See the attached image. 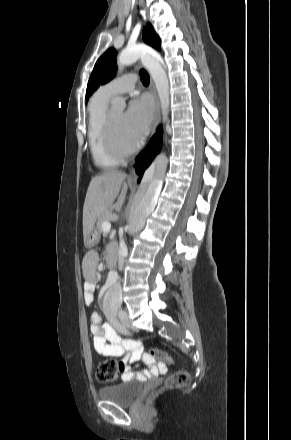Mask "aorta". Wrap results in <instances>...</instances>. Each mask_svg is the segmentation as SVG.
Segmentation results:
<instances>
[{
	"label": "aorta",
	"instance_id": "obj_1",
	"mask_svg": "<svg viewBox=\"0 0 291 440\" xmlns=\"http://www.w3.org/2000/svg\"><path fill=\"white\" fill-rule=\"evenodd\" d=\"M150 54L157 62L163 64V60L159 54L151 50L145 45H134L125 48L117 58L118 73L123 69L135 63L138 59ZM126 107L123 97H116L111 104L113 112H122ZM162 188V180L158 174V163L155 160L145 171L141 187L137 195V201L132 209L131 218L128 225L130 235H135L145 225L147 217L153 212L158 196ZM122 299L121 285L117 278H111L107 283V290L104 301L109 305H118Z\"/></svg>",
	"mask_w": 291,
	"mask_h": 440
}]
</instances>
